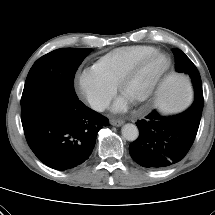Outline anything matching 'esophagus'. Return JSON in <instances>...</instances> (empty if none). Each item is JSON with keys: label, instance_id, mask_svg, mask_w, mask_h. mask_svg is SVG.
I'll use <instances>...</instances> for the list:
<instances>
[{"label": "esophagus", "instance_id": "obj_1", "mask_svg": "<svg viewBox=\"0 0 215 215\" xmlns=\"http://www.w3.org/2000/svg\"><path fill=\"white\" fill-rule=\"evenodd\" d=\"M123 123H124V121H122V120H116V119L110 120V124L113 126H117V127L121 126Z\"/></svg>", "mask_w": 215, "mask_h": 215}]
</instances>
